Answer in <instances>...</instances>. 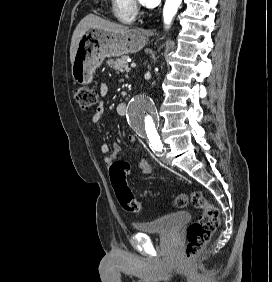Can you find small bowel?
Wrapping results in <instances>:
<instances>
[{
    "label": "small bowel",
    "mask_w": 272,
    "mask_h": 282,
    "mask_svg": "<svg viewBox=\"0 0 272 282\" xmlns=\"http://www.w3.org/2000/svg\"><path fill=\"white\" fill-rule=\"evenodd\" d=\"M108 92V86L106 83H102L100 85V95L102 98H104L106 96ZM104 112V102L101 101L98 105V107L96 108L95 113L92 116V122L93 123H98L102 114ZM129 141L134 142L136 141V137L134 135H130L128 137ZM101 151L104 154V161L107 165H111L115 159L117 158V154L120 151V146L117 143H113L112 145V153L109 154V146L107 144H103L101 146ZM125 168L128 170L129 165L126 162H123ZM139 169L143 174H150L152 173V168L150 167L149 163L147 160L142 159L139 161Z\"/></svg>",
    "instance_id": "1"
}]
</instances>
